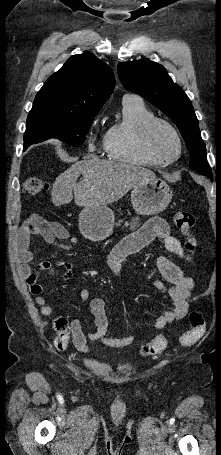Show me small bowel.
<instances>
[{"label":"small bowel","mask_w":221,"mask_h":455,"mask_svg":"<svg viewBox=\"0 0 221 455\" xmlns=\"http://www.w3.org/2000/svg\"><path fill=\"white\" fill-rule=\"evenodd\" d=\"M33 235H40L48 243L66 251L77 245L79 238L71 235L62 224L55 221H47L38 216L28 218L20 228L17 241V254L20 263L24 266V274L27 276L29 290L35 295V302L38 304L40 312L45 316H51L55 313V310L42 295L43 287L38 282L37 277L42 271L53 275L54 268L49 262L31 263L33 253L30 249V237ZM154 242L164 246L167 251L178 256L180 259H185V252L181 243L172 235L168 224L161 218L155 217L150 219L137 231L127 235L113 248L107 258V265L112 274L119 278L125 259ZM58 265L65 269L63 274L65 280L73 276L71 263L62 261ZM156 266L163 280H156L154 286L167 296L172 305L170 310L162 313L155 321V329L161 330L168 324L186 317L189 310L188 299L194 289V282L184 274L178 265L165 256L160 255L156 258ZM80 296L84 300L90 299L89 306L94 316L96 330L85 333L78 320L72 321L71 328L74 344L79 351H87L88 340H100L105 345L118 349L128 348L134 344L136 335H129L122 338L106 336L108 318L103 299L98 297L92 298V292L88 288L83 289L80 292Z\"/></svg>","instance_id":"c3829d8e"}]
</instances>
